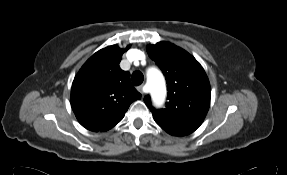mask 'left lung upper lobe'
<instances>
[{
    "instance_id": "obj_1",
    "label": "left lung upper lobe",
    "mask_w": 287,
    "mask_h": 175,
    "mask_svg": "<svg viewBox=\"0 0 287 175\" xmlns=\"http://www.w3.org/2000/svg\"><path fill=\"white\" fill-rule=\"evenodd\" d=\"M147 52L163 71L168 84L169 101L165 109H154L149 96L144 99L155 122L174 136L194 132L210 106L211 89L204 69L188 52L170 42L148 45Z\"/></svg>"
}]
</instances>
